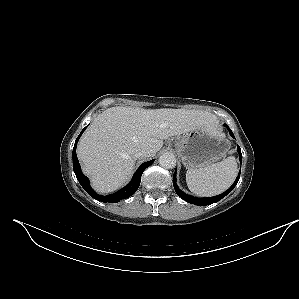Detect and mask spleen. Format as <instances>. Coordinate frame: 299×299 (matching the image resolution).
<instances>
[{"instance_id":"3e777b00","label":"spleen","mask_w":299,"mask_h":299,"mask_svg":"<svg viewBox=\"0 0 299 299\" xmlns=\"http://www.w3.org/2000/svg\"><path fill=\"white\" fill-rule=\"evenodd\" d=\"M237 176L235 157L229 156L201 169H188L186 182L189 190L202 197L220 194L228 189Z\"/></svg>"}]
</instances>
